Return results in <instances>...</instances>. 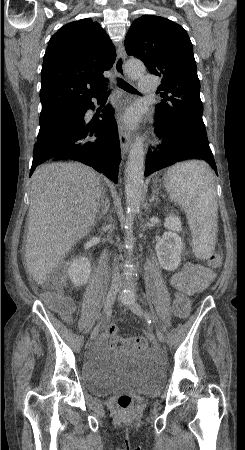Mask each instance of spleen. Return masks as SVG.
Segmentation results:
<instances>
[{
  "label": "spleen",
  "mask_w": 245,
  "mask_h": 450,
  "mask_svg": "<svg viewBox=\"0 0 245 450\" xmlns=\"http://www.w3.org/2000/svg\"><path fill=\"white\" fill-rule=\"evenodd\" d=\"M164 183L170 198L187 216L195 256L209 258L218 228L217 193L211 169L196 160L178 163L168 169Z\"/></svg>",
  "instance_id": "spleen-1"
}]
</instances>
